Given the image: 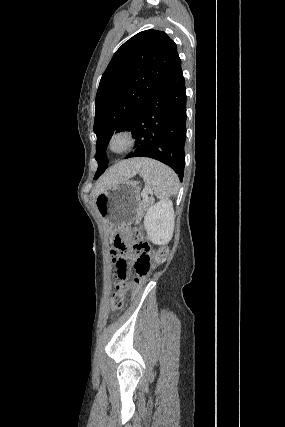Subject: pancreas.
Here are the masks:
<instances>
[{"label":"pancreas","mask_w":285,"mask_h":427,"mask_svg":"<svg viewBox=\"0 0 285 427\" xmlns=\"http://www.w3.org/2000/svg\"><path fill=\"white\" fill-rule=\"evenodd\" d=\"M152 199H150V198H145L142 202H141V204H140V206H139V211H138V215H137V218L136 219H140L143 215H144V213H145V211L147 210V208L150 206V204L152 203Z\"/></svg>","instance_id":"pancreas-1"}]
</instances>
